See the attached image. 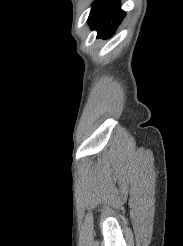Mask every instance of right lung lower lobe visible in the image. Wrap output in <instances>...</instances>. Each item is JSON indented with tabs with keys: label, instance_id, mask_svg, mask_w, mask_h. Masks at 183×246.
Returning a JSON list of instances; mask_svg holds the SVG:
<instances>
[{
	"label": "right lung lower lobe",
	"instance_id": "right-lung-lower-lobe-1",
	"mask_svg": "<svg viewBox=\"0 0 183 246\" xmlns=\"http://www.w3.org/2000/svg\"><path fill=\"white\" fill-rule=\"evenodd\" d=\"M119 0H96L93 3L88 23L98 31V37H110L124 18Z\"/></svg>",
	"mask_w": 183,
	"mask_h": 246
}]
</instances>
